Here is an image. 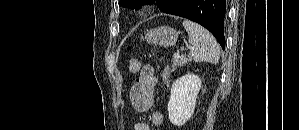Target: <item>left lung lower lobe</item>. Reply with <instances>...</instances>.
Instances as JSON below:
<instances>
[{
  "label": "left lung lower lobe",
  "mask_w": 299,
  "mask_h": 130,
  "mask_svg": "<svg viewBox=\"0 0 299 130\" xmlns=\"http://www.w3.org/2000/svg\"><path fill=\"white\" fill-rule=\"evenodd\" d=\"M164 13L195 21L208 29L225 49L224 19L226 0H163L158 3Z\"/></svg>",
  "instance_id": "1"
}]
</instances>
